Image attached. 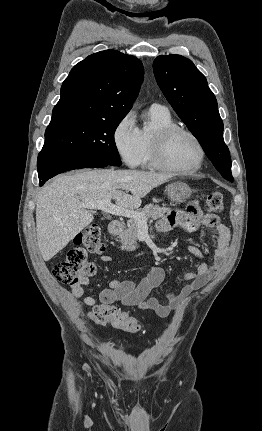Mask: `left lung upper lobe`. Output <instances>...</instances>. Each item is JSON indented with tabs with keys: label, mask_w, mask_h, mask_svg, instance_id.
<instances>
[{
	"label": "left lung upper lobe",
	"mask_w": 262,
	"mask_h": 431,
	"mask_svg": "<svg viewBox=\"0 0 262 431\" xmlns=\"http://www.w3.org/2000/svg\"><path fill=\"white\" fill-rule=\"evenodd\" d=\"M163 94L200 142L221 175L233 182L229 149L223 139V122L217 100L205 76L181 55H161L153 64Z\"/></svg>",
	"instance_id": "obj_1"
}]
</instances>
